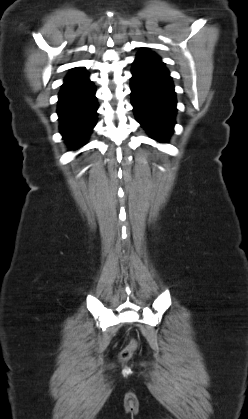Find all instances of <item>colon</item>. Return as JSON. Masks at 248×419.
<instances>
[{"label":"colon","instance_id":"colon-1","mask_svg":"<svg viewBox=\"0 0 248 419\" xmlns=\"http://www.w3.org/2000/svg\"><path fill=\"white\" fill-rule=\"evenodd\" d=\"M138 344L135 340H130L129 343L121 350L119 358L122 361L129 360L132 355L136 352Z\"/></svg>","mask_w":248,"mask_h":419}]
</instances>
